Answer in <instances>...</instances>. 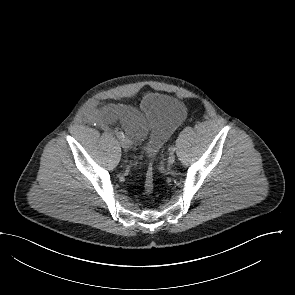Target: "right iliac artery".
<instances>
[{"label":"right iliac artery","instance_id":"82829eb1","mask_svg":"<svg viewBox=\"0 0 295 295\" xmlns=\"http://www.w3.org/2000/svg\"><path fill=\"white\" fill-rule=\"evenodd\" d=\"M117 137L119 138V139H124V134L122 133V132H117Z\"/></svg>","mask_w":295,"mask_h":295}]
</instances>
